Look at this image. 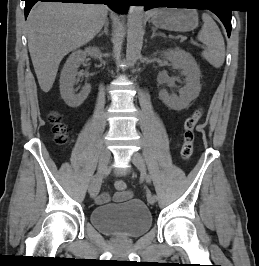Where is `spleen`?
Instances as JSON below:
<instances>
[{"label": "spleen", "mask_w": 259, "mask_h": 266, "mask_svg": "<svg viewBox=\"0 0 259 266\" xmlns=\"http://www.w3.org/2000/svg\"><path fill=\"white\" fill-rule=\"evenodd\" d=\"M203 26L198 33V40L207 46L202 57L213 67L220 68L225 60V43L221 31L212 17L203 13Z\"/></svg>", "instance_id": "spleen-1"}]
</instances>
